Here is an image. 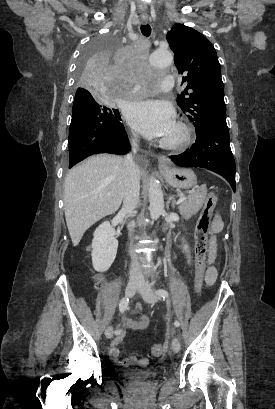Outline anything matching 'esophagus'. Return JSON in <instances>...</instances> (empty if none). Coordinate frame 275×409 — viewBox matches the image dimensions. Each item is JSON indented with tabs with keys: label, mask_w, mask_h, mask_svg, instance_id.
<instances>
[{
	"label": "esophagus",
	"mask_w": 275,
	"mask_h": 409,
	"mask_svg": "<svg viewBox=\"0 0 275 409\" xmlns=\"http://www.w3.org/2000/svg\"><path fill=\"white\" fill-rule=\"evenodd\" d=\"M141 22H142V23H147V22H148V18H147V17H146V18H145V17H142V18H141ZM164 158H165L164 156H161L159 160L164 159ZM143 160H144L145 162H147V159L144 158Z\"/></svg>",
	"instance_id": "obj_1"
}]
</instances>
